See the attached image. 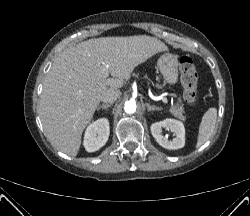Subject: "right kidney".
Masks as SVG:
<instances>
[{
    "label": "right kidney",
    "mask_w": 250,
    "mask_h": 216,
    "mask_svg": "<svg viewBox=\"0 0 250 216\" xmlns=\"http://www.w3.org/2000/svg\"><path fill=\"white\" fill-rule=\"evenodd\" d=\"M110 134L109 121L106 118H100L91 123L84 135V147L88 152H95L103 147Z\"/></svg>",
    "instance_id": "right-kidney-1"
}]
</instances>
